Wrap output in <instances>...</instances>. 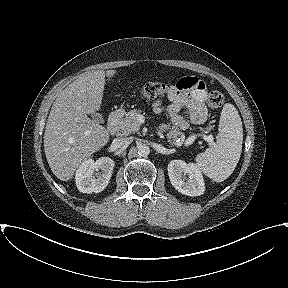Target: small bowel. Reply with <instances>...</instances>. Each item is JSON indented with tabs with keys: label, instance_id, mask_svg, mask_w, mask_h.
I'll use <instances>...</instances> for the list:
<instances>
[{
	"label": "small bowel",
	"instance_id": "obj_1",
	"mask_svg": "<svg viewBox=\"0 0 288 288\" xmlns=\"http://www.w3.org/2000/svg\"><path fill=\"white\" fill-rule=\"evenodd\" d=\"M176 85L178 88L168 95L170 105L167 108L173 125L180 130H186L189 124L200 125L205 122L207 91L204 82L196 77H183ZM152 107L155 113L163 111V104L160 100L155 101ZM181 111H185L188 118L183 117L180 114Z\"/></svg>",
	"mask_w": 288,
	"mask_h": 288
}]
</instances>
